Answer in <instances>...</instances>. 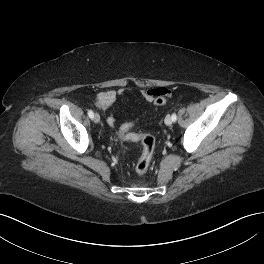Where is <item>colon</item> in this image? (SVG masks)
Segmentation results:
<instances>
[{
    "instance_id": "1",
    "label": "colon",
    "mask_w": 264,
    "mask_h": 264,
    "mask_svg": "<svg viewBox=\"0 0 264 264\" xmlns=\"http://www.w3.org/2000/svg\"><path fill=\"white\" fill-rule=\"evenodd\" d=\"M166 103V99L164 97H159L154 101L155 105H164ZM133 127V123H125L120 128V135L124 140L139 142L142 145L141 155L136 162L135 172L138 175H142L147 172L155 150V139L150 134H139L131 132Z\"/></svg>"
}]
</instances>
